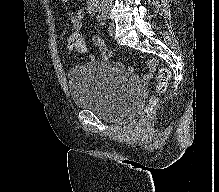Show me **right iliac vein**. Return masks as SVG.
<instances>
[{"instance_id": "1", "label": "right iliac vein", "mask_w": 219, "mask_h": 192, "mask_svg": "<svg viewBox=\"0 0 219 192\" xmlns=\"http://www.w3.org/2000/svg\"><path fill=\"white\" fill-rule=\"evenodd\" d=\"M101 13L105 18H109L110 16V10L107 7L103 8Z\"/></svg>"}]
</instances>
